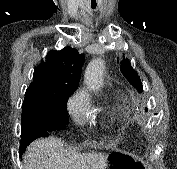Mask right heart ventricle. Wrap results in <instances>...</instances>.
<instances>
[{"label": "right heart ventricle", "mask_w": 177, "mask_h": 169, "mask_svg": "<svg viewBox=\"0 0 177 169\" xmlns=\"http://www.w3.org/2000/svg\"><path fill=\"white\" fill-rule=\"evenodd\" d=\"M125 110H126V107L122 105L118 108L117 112L120 114V113L124 112Z\"/></svg>", "instance_id": "right-heart-ventricle-1"}]
</instances>
